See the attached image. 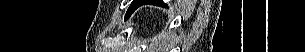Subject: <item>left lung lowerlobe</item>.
Here are the masks:
<instances>
[{
    "instance_id": "left-lung-lower-lobe-1",
    "label": "left lung lower lobe",
    "mask_w": 305,
    "mask_h": 52,
    "mask_svg": "<svg viewBox=\"0 0 305 52\" xmlns=\"http://www.w3.org/2000/svg\"><path fill=\"white\" fill-rule=\"evenodd\" d=\"M146 3H147L146 0H140V2L138 4L143 5V4H146Z\"/></svg>"
}]
</instances>
